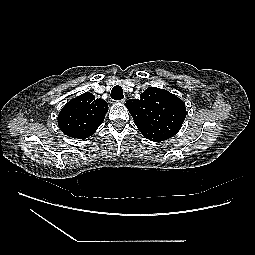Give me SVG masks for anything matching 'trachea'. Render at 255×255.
I'll use <instances>...</instances> for the list:
<instances>
[{
  "label": "trachea",
  "mask_w": 255,
  "mask_h": 255,
  "mask_svg": "<svg viewBox=\"0 0 255 255\" xmlns=\"http://www.w3.org/2000/svg\"><path fill=\"white\" fill-rule=\"evenodd\" d=\"M111 98L114 100H121L124 98L123 89L121 86H114L111 91Z\"/></svg>",
  "instance_id": "obj_1"
}]
</instances>
